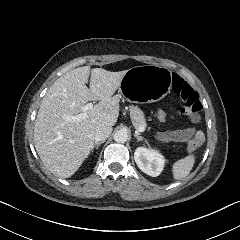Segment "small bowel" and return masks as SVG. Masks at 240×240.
Here are the masks:
<instances>
[{"instance_id": "1", "label": "small bowel", "mask_w": 240, "mask_h": 240, "mask_svg": "<svg viewBox=\"0 0 240 240\" xmlns=\"http://www.w3.org/2000/svg\"><path fill=\"white\" fill-rule=\"evenodd\" d=\"M196 131L197 130L193 126L177 130H164L157 134V138L163 142L188 143Z\"/></svg>"}]
</instances>
